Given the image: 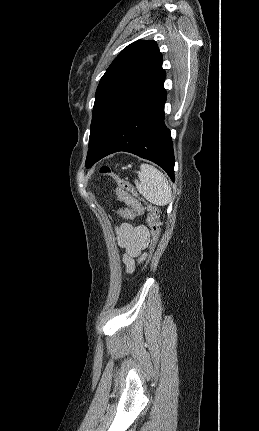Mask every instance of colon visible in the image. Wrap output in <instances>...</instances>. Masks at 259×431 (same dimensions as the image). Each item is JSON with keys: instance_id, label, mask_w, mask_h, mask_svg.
<instances>
[{"instance_id": "obj_1", "label": "colon", "mask_w": 259, "mask_h": 431, "mask_svg": "<svg viewBox=\"0 0 259 431\" xmlns=\"http://www.w3.org/2000/svg\"><path fill=\"white\" fill-rule=\"evenodd\" d=\"M102 175L111 176L118 183L117 196L120 200L128 204L130 207L122 209V207L115 208V211L121 212L124 218H131L139 220L142 214L148 211V224L151 233L150 250L153 252L156 249L159 235H160V224H159V210L156 206L143 202V200L137 196L133 190L131 184L126 181L123 177L113 173L110 168L106 165L100 168ZM144 203L145 205H142Z\"/></svg>"}]
</instances>
